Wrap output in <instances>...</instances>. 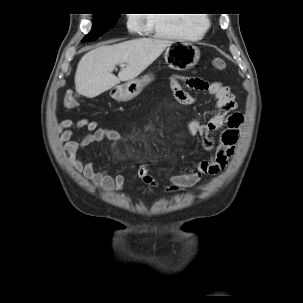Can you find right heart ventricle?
<instances>
[{
  "label": "right heart ventricle",
  "instance_id": "e07e8e85",
  "mask_svg": "<svg viewBox=\"0 0 303 303\" xmlns=\"http://www.w3.org/2000/svg\"><path fill=\"white\" fill-rule=\"evenodd\" d=\"M146 26L156 35L179 38L202 35L201 19L192 14H147Z\"/></svg>",
  "mask_w": 303,
  "mask_h": 303
}]
</instances>
